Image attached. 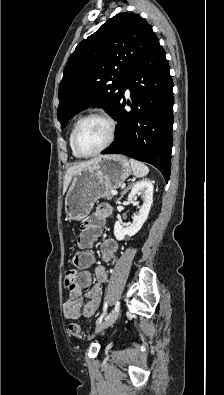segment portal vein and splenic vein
<instances>
[{
	"label": "portal vein and splenic vein",
	"instance_id": "1",
	"mask_svg": "<svg viewBox=\"0 0 224 395\" xmlns=\"http://www.w3.org/2000/svg\"><path fill=\"white\" fill-rule=\"evenodd\" d=\"M111 194H112V195H117V194H118V192H117V191H115V190H111Z\"/></svg>",
	"mask_w": 224,
	"mask_h": 395
}]
</instances>
